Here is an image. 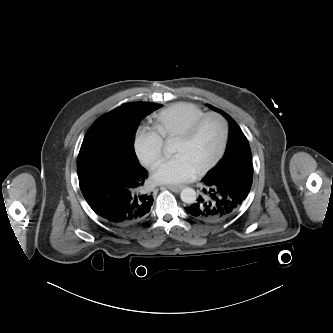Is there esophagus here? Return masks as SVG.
I'll return each mask as SVG.
<instances>
[{
	"mask_svg": "<svg viewBox=\"0 0 333 333\" xmlns=\"http://www.w3.org/2000/svg\"><path fill=\"white\" fill-rule=\"evenodd\" d=\"M167 188L170 189L173 192L178 193V192H180L184 188V185H178V186L168 185Z\"/></svg>",
	"mask_w": 333,
	"mask_h": 333,
	"instance_id": "esophagus-1",
	"label": "esophagus"
}]
</instances>
